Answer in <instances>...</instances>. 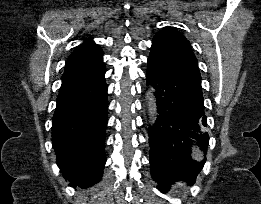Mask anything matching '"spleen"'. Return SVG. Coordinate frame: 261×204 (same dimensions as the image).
Segmentation results:
<instances>
[{"mask_svg":"<svg viewBox=\"0 0 261 204\" xmlns=\"http://www.w3.org/2000/svg\"><path fill=\"white\" fill-rule=\"evenodd\" d=\"M196 154H199V152H198V151H196Z\"/></svg>","mask_w":261,"mask_h":204,"instance_id":"1","label":"spleen"}]
</instances>
